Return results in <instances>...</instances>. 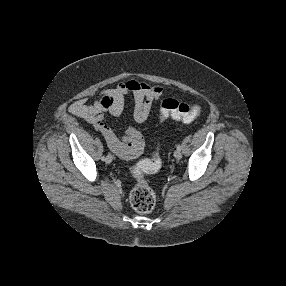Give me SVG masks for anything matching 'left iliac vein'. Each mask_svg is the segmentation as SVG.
I'll list each match as a JSON object with an SVG mask.
<instances>
[{
  "instance_id": "1",
  "label": "left iliac vein",
  "mask_w": 286,
  "mask_h": 286,
  "mask_svg": "<svg viewBox=\"0 0 286 286\" xmlns=\"http://www.w3.org/2000/svg\"><path fill=\"white\" fill-rule=\"evenodd\" d=\"M174 157H175L176 159H181V157H182L181 150L176 149V150L174 151Z\"/></svg>"
}]
</instances>
